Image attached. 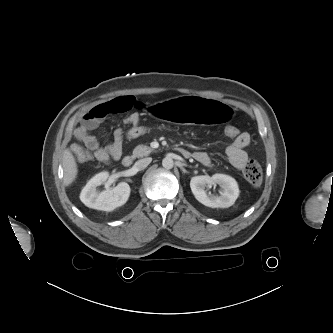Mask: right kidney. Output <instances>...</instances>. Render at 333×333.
Segmentation results:
<instances>
[{"label":"right kidney","mask_w":333,"mask_h":333,"mask_svg":"<svg viewBox=\"0 0 333 333\" xmlns=\"http://www.w3.org/2000/svg\"><path fill=\"white\" fill-rule=\"evenodd\" d=\"M109 172L104 171L96 174L88 181L80 193V200L89 208L112 211L124 205L130 196V187L127 183L121 182L115 188H107L102 192L97 187L106 184Z\"/></svg>","instance_id":"right-kidney-1"}]
</instances>
